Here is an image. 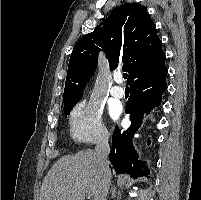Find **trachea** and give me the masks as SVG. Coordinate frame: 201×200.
<instances>
[{"label":"trachea","mask_w":201,"mask_h":200,"mask_svg":"<svg viewBox=\"0 0 201 200\" xmlns=\"http://www.w3.org/2000/svg\"><path fill=\"white\" fill-rule=\"evenodd\" d=\"M127 76H128V75H127L126 73L123 74V78H124V79H127Z\"/></svg>","instance_id":"obj_1"}]
</instances>
